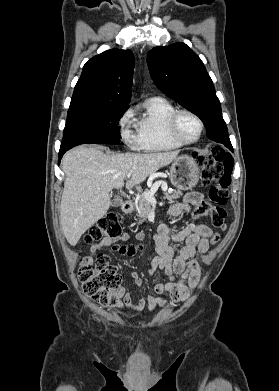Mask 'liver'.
<instances>
[{"instance_id": "obj_1", "label": "liver", "mask_w": 279, "mask_h": 391, "mask_svg": "<svg viewBox=\"0 0 279 391\" xmlns=\"http://www.w3.org/2000/svg\"><path fill=\"white\" fill-rule=\"evenodd\" d=\"M178 152L149 154H110L98 147H78L67 152L62 161L65 173L60 206V226L71 246L108 211L109 192L142 183L160 168L169 165Z\"/></svg>"}]
</instances>
